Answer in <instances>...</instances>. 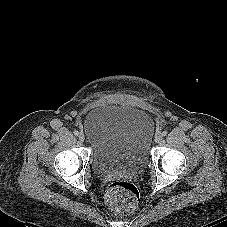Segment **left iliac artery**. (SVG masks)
<instances>
[{
    "mask_svg": "<svg viewBox=\"0 0 227 227\" xmlns=\"http://www.w3.org/2000/svg\"><path fill=\"white\" fill-rule=\"evenodd\" d=\"M162 134H163V136H166L167 135V131H163Z\"/></svg>",
    "mask_w": 227,
    "mask_h": 227,
    "instance_id": "1",
    "label": "left iliac artery"
}]
</instances>
